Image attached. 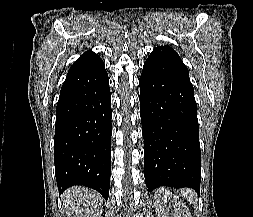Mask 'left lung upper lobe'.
<instances>
[{"instance_id": "1", "label": "left lung upper lobe", "mask_w": 253, "mask_h": 217, "mask_svg": "<svg viewBox=\"0 0 253 217\" xmlns=\"http://www.w3.org/2000/svg\"><path fill=\"white\" fill-rule=\"evenodd\" d=\"M153 53L162 55L168 58L170 61L175 63L176 65L180 66L182 69L188 71L184 63L182 62L179 55L169 46H158L153 50Z\"/></svg>"}]
</instances>
